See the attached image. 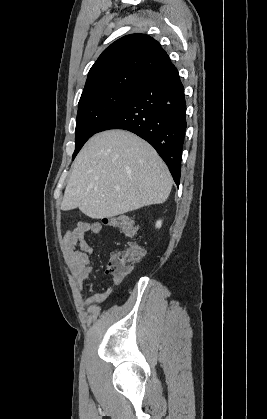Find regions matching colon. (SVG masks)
<instances>
[{
  "label": "colon",
  "mask_w": 267,
  "mask_h": 419,
  "mask_svg": "<svg viewBox=\"0 0 267 419\" xmlns=\"http://www.w3.org/2000/svg\"><path fill=\"white\" fill-rule=\"evenodd\" d=\"M102 222L105 225L121 230L128 237H133L138 230L135 221L124 214L106 218ZM143 254L144 250L139 244L130 242L126 248L115 250L111 253L107 273L112 277L127 275Z\"/></svg>",
  "instance_id": "obj_1"
}]
</instances>
